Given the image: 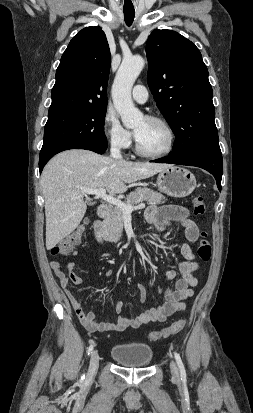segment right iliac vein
<instances>
[{"mask_svg":"<svg viewBox=\"0 0 253 413\" xmlns=\"http://www.w3.org/2000/svg\"><path fill=\"white\" fill-rule=\"evenodd\" d=\"M99 366V355H98V351L94 350L91 353V357H90V365H89V369H88V373H87V380L90 381L94 378L97 369Z\"/></svg>","mask_w":253,"mask_h":413,"instance_id":"obj_1","label":"right iliac vein"}]
</instances>
